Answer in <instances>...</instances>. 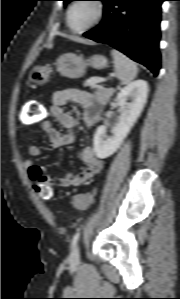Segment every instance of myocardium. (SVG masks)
I'll list each match as a JSON object with an SVG mask.
<instances>
[{
	"mask_svg": "<svg viewBox=\"0 0 180 299\" xmlns=\"http://www.w3.org/2000/svg\"><path fill=\"white\" fill-rule=\"evenodd\" d=\"M81 2H90V3H92V5L95 8V16H94L93 20L89 24H87L86 26H84L80 29H75L70 24V14H71L72 9L77 4H79ZM105 12H106V7H105V4L102 2V0H74L70 4V6L68 7L67 12H66V18H65L66 25L69 28V30L73 33H78V34L84 33L86 31L96 27L97 25H99L104 19Z\"/></svg>",
	"mask_w": 180,
	"mask_h": 299,
	"instance_id": "obj_1",
	"label": "myocardium"
}]
</instances>
